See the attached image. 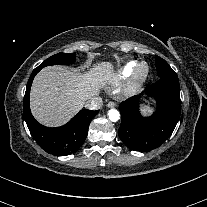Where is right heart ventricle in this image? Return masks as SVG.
<instances>
[{
  "instance_id": "1",
  "label": "right heart ventricle",
  "mask_w": 207,
  "mask_h": 207,
  "mask_svg": "<svg viewBox=\"0 0 207 207\" xmlns=\"http://www.w3.org/2000/svg\"><path fill=\"white\" fill-rule=\"evenodd\" d=\"M134 64H135L134 61H130L126 63L121 69V71L119 72V74L117 75V77L114 80H112V84H115L119 79L128 76L131 73Z\"/></svg>"
}]
</instances>
